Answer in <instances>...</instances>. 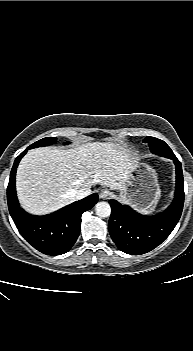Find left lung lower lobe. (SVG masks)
Masks as SVG:
<instances>
[{"mask_svg":"<svg viewBox=\"0 0 193 351\" xmlns=\"http://www.w3.org/2000/svg\"><path fill=\"white\" fill-rule=\"evenodd\" d=\"M176 166V190L172 204L156 216L140 215L116 200H110L109 232L117 247L124 253L140 255L160 245L178 223L184 204V181L180 161L169 157Z\"/></svg>","mask_w":193,"mask_h":351,"instance_id":"left-lung-lower-lobe-1","label":"left lung lower lobe"}]
</instances>
